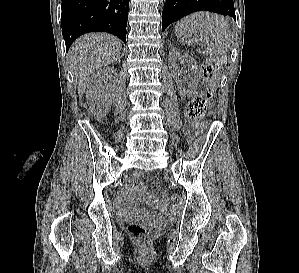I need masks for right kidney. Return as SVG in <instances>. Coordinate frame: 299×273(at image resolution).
<instances>
[{"label":"right kidney","mask_w":299,"mask_h":273,"mask_svg":"<svg viewBox=\"0 0 299 273\" xmlns=\"http://www.w3.org/2000/svg\"><path fill=\"white\" fill-rule=\"evenodd\" d=\"M116 74L113 67H104L93 73L88 80L86 99L92 113L97 117H103L109 111L116 88L112 82L105 85L103 82H106V78L115 77Z\"/></svg>","instance_id":"obj_1"}]
</instances>
